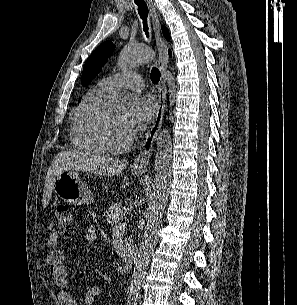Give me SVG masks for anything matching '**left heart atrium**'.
<instances>
[{
    "label": "left heart atrium",
    "mask_w": 297,
    "mask_h": 305,
    "mask_svg": "<svg viewBox=\"0 0 297 305\" xmlns=\"http://www.w3.org/2000/svg\"><path fill=\"white\" fill-rule=\"evenodd\" d=\"M155 102L149 95L135 96L125 113L122 125L130 139L140 134L155 114Z\"/></svg>",
    "instance_id": "left-heart-atrium-1"
}]
</instances>
